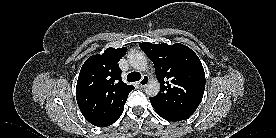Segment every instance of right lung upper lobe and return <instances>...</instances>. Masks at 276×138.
Instances as JSON below:
<instances>
[{
    "instance_id": "obj_1",
    "label": "right lung upper lobe",
    "mask_w": 276,
    "mask_h": 138,
    "mask_svg": "<svg viewBox=\"0 0 276 138\" xmlns=\"http://www.w3.org/2000/svg\"><path fill=\"white\" fill-rule=\"evenodd\" d=\"M127 48H107L83 64L76 86V98L83 116L99 127L112 125L121 116L132 85L121 80L119 60Z\"/></svg>"
}]
</instances>
